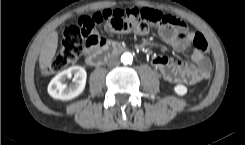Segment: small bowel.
Segmentation results:
<instances>
[{"label": "small bowel", "instance_id": "small-bowel-1", "mask_svg": "<svg viewBox=\"0 0 245 145\" xmlns=\"http://www.w3.org/2000/svg\"><path fill=\"white\" fill-rule=\"evenodd\" d=\"M106 29L107 31L111 30L110 26H107ZM136 33L146 35L148 30H136ZM159 33L162 39L177 52L185 51L195 36V32L189 30L186 23L180 20L174 26L163 27ZM106 42L105 39L100 38V45ZM91 50L93 49H88L87 54ZM191 58L195 64L180 60L173 63L168 57L158 56L154 58L153 66L159 71L164 80L170 83L186 81L190 84H196L206 78L203 76L206 58L195 49L192 51Z\"/></svg>", "mask_w": 245, "mask_h": 145}]
</instances>
